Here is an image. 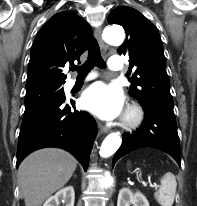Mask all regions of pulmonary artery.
Returning a JSON list of instances; mask_svg holds the SVG:
<instances>
[{
	"label": "pulmonary artery",
	"instance_id": "obj_1",
	"mask_svg": "<svg viewBox=\"0 0 197 206\" xmlns=\"http://www.w3.org/2000/svg\"><path fill=\"white\" fill-rule=\"evenodd\" d=\"M109 68L113 71H121L123 68V64L120 57H111L109 60ZM94 75L88 76V79L94 78ZM75 84V80H70L68 82V86L72 87Z\"/></svg>",
	"mask_w": 197,
	"mask_h": 206
}]
</instances>
